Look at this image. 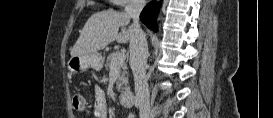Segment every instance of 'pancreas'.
<instances>
[{
    "mask_svg": "<svg viewBox=\"0 0 273 118\" xmlns=\"http://www.w3.org/2000/svg\"><path fill=\"white\" fill-rule=\"evenodd\" d=\"M119 52H113L107 57V61L105 64L106 69H110L113 65H115L118 69V77L116 82V89L119 92H124L129 90L128 86V76L129 73L127 71V64L125 60L118 59Z\"/></svg>",
    "mask_w": 273,
    "mask_h": 118,
    "instance_id": "cf45deb5",
    "label": "pancreas"
}]
</instances>
